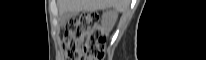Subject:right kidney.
Returning <instances> with one entry per match:
<instances>
[{
	"mask_svg": "<svg viewBox=\"0 0 206 60\" xmlns=\"http://www.w3.org/2000/svg\"><path fill=\"white\" fill-rule=\"evenodd\" d=\"M117 13L115 11L106 12L103 15L102 22L105 31H110L116 21Z\"/></svg>",
	"mask_w": 206,
	"mask_h": 60,
	"instance_id": "obj_1",
	"label": "right kidney"
}]
</instances>
